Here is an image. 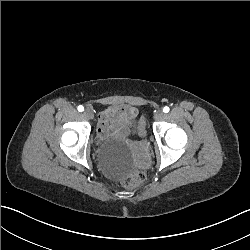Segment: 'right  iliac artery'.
Instances as JSON below:
<instances>
[{
  "label": "right iliac artery",
  "mask_w": 250,
  "mask_h": 250,
  "mask_svg": "<svg viewBox=\"0 0 250 250\" xmlns=\"http://www.w3.org/2000/svg\"><path fill=\"white\" fill-rule=\"evenodd\" d=\"M77 109H78L79 112L84 111V107L82 105H79Z\"/></svg>",
  "instance_id": "82829eb1"
}]
</instances>
